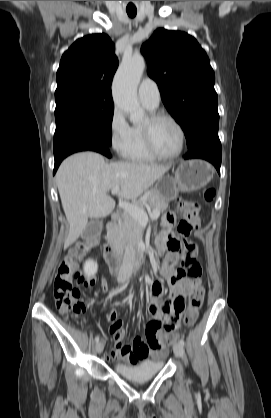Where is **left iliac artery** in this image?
Returning <instances> with one entry per match:
<instances>
[{"label":"left iliac artery","instance_id":"obj_1","mask_svg":"<svg viewBox=\"0 0 271 418\" xmlns=\"http://www.w3.org/2000/svg\"><path fill=\"white\" fill-rule=\"evenodd\" d=\"M179 343H180L182 346H184V345H185V342H184V340H183V339H180V340H179Z\"/></svg>","mask_w":271,"mask_h":418}]
</instances>
